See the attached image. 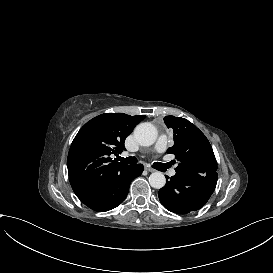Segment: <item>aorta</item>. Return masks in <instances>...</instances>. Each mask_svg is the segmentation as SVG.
Wrapping results in <instances>:
<instances>
[{
    "label": "aorta",
    "mask_w": 273,
    "mask_h": 273,
    "mask_svg": "<svg viewBox=\"0 0 273 273\" xmlns=\"http://www.w3.org/2000/svg\"><path fill=\"white\" fill-rule=\"evenodd\" d=\"M134 137L141 146H150L157 139V130L151 123H140L134 130ZM149 183L155 189H161L166 184V178L161 172H153L149 176Z\"/></svg>",
    "instance_id": "1"
}]
</instances>
